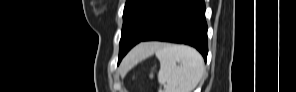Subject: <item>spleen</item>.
<instances>
[{"label": "spleen", "mask_w": 296, "mask_h": 92, "mask_svg": "<svg viewBox=\"0 0 296 92\" xmlns=\"http://www.w3.org/2000/svg\"><path fill=\"white\" fill-rule=\"evenodd\" d=\"M139 55L146 58L155 53L160 61L158 81L163 85L161 92H192L204 74L202 56L185 45L166 43H147Z\"/></svg>", "instance_id": "obj_1"}]
</instances>
